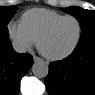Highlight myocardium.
Returning a JSON list of instances; mask_svg holds the SVG:
<instances>
[{
  "label": "myocardium",
  "mask_w": 95,
  "mask_h": 95,
  "mask_svg": "<svg viewBox=\"0 0 95 95\" xmlns=\"http://www.w3.org/2000/svg\"><path fill=\"white\" fill-rule=\"evenodd\" d=\"M67 19H74L77 21L78 26H79V33H78V37L76 42L74 43V45L66 52L60 54V55H49L47 53L44 52L43 48H42V42L43 40L50 35V33L63 21L67 20ZM83 37V24L82 21L75 15H65L63 17H61L60 19L56 20L55 22H53L52 24H50L38 37L37 40V48L39 50V52L47 59L52 60V61H58V60H63L67 57H69L71 54H73L75 52V50L78 48L81 40Z\"/></svg>",
  "instance_id": "obj_1"
}]
</instances>
